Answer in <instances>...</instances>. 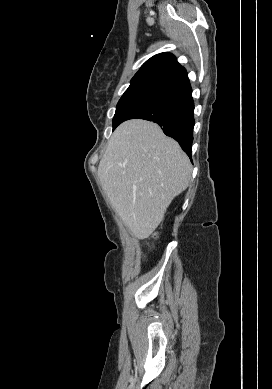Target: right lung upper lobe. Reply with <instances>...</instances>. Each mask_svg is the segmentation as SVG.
Instances as JSON below:
<instances>
[{
	"mask_svg": "<svg viewBox=\"0 0 272 389\" xmlns=\"http://www.w3.org/2000/svg\"><path fill=\"white\" fill-rule=\"evenodd\" d=\"M187 72L170 53H160L148 59L131 80L134 83H155L166 86Z\"/></svg>",
	"mask_w": 272,
	"mask_h": 389,
	"instance_id": "cb5924a9",
	"label": "right lung upper lobe"
}]
</instances>
